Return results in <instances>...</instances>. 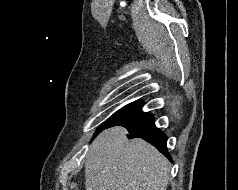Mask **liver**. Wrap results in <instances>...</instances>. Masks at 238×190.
<instances>
[{
    "instance_id": "obj_1",
    "label": "liver",
    "mask_w": 238,
    "mask_h": 190,
    "mask_svg": "<svg viewBox=\"0 0 238 190\" xmlns=\"http://www.w3.org/2000/svg\"><path fill=\"white\" fill-rule=\"evenodd\" d=\"M121 126L101 132L85 160L86 190H166L170 163L152 145L127 139Z\"/></svg>"
}]
</instances>
